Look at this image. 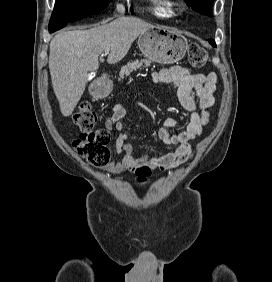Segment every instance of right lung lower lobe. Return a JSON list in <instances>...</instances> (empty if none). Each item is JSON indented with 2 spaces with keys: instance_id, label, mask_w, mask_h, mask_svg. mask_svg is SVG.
Returning <instances> with one entry per match:
<instances>
[{
  "instance_id": "98d812e1",
  "label": "right lung lower lobe",
  "mask_w": 272,
  "mask_h": 282,
  "mask_svg": "<svg viewBox=\"0 0 272 282\" xmlns=\"http://www.w3.org/2000/svg\"><path fill=\"white\" fill-rule=\"evenodd\" d=\"M88 16V15H87ZM86 16H81V17H78V18H75V19H72V20H69V21H62V22H58V23H55V24H52V25H49V32L50 33H53L63 27H65L67 25V23L69 22H74V21H77V20H80L82 18H84Z\"/></svg>"
}]
</instances>
